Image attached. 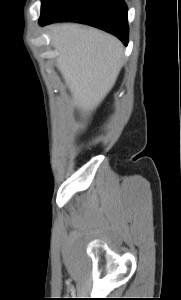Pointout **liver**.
Here are the masks:
<instances>
[{
  "label": "liver",
  "mask_w": 181,
  "mask_h": 300,
  "mask_svg": "<svg viewBox=\"0 0 181 300\" xmlns=\"http://www.w3.org/2000/svg\"><path fill=\"white\" fill-rule=\"evenodd\" d=\"M57 68L82 116L87 118L114 86L123 65V45L114 36L76 24L50 30Z\"/></svg>",
  "instance_id": "1"
}]
</instances>
